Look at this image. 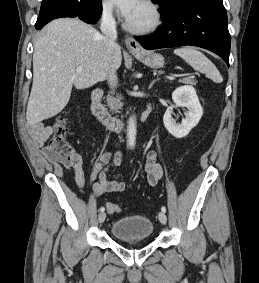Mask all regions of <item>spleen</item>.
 <instances>
[{"label": "spleen", "mask_w": 259, "mask_h": 283, "mask_svg": "<svg viewBox=\"0 0 259 283\" xmlns=\"http://www.w3.org/2000/svg\"><path fill=\"white\" fill-rule=\"evenodd\" d=\"M174 54L181 57L193 69L205 73V75L216 83L223 81L222 76L215 65L200 51L191 47H184L174 50Z\"/></svg>", "instance_id": "spleen-1"}]
</instances>
